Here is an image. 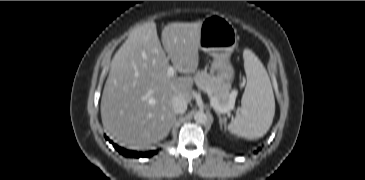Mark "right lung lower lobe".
<instances>
[{
	"label": "right lung lower lobe",
	"instance_id": "obj_1",
	"mask_svg": "<svg viewBox=\"0 0 365 180\" xmlns=\"http://www.w3.org/2000/svg\"><path fill=\"white\" fill-rule=\"evenodd\" d=\"M106 139L108 140V138L106 137ZM112 143V141H110ZM113 146L115 147V149L122 154L125 157H150L154 154L157 153V151H151V152H147V153H141V152H135V151H131V150H126L124 148H121L119 146H117L116 144H113Z\"/></svg>",
	"mask_w": 365,
	"mask_h": 180
}]
</instances>
